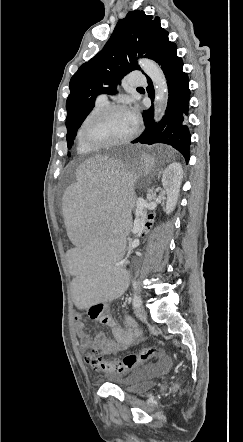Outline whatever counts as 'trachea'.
<instances>
[{
    "label": "trachea",
    "mask_w": 243,
    "mask_h": 442,
    "mask_svg": "<svg viewBox=\"0 0 243 442\" xmlns=\"http://www.w3.org/2000/svg\"><path fill=\"white\" fill-rule=\"evenodd\" d=\"M137 89H143L142 87H138Z\"/></svg>",
    "instance_id": "trachea-1"
}]
</instances>
